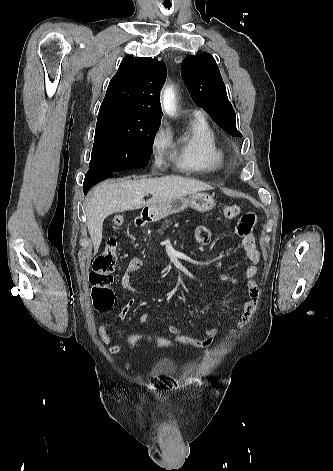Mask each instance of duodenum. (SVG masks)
Wrapping results in <instances>:
<instances>
[{
  "label": "duodenum",
  "mask_w": 333,
  "mask_h": 471,
  "mask_svg": "<svg viewBox=\"0 0 333 471\" xmlns=\"http://www.w3.org/2000/svg\"><path fill=\"white\" fill-rule=\"evenodd\" d=\"M146 221H147V215L143 214L138 218L137 224L138 225H143Z\"/></svg>",
  "instance_id": "duodenum-1"
}]
</instances>
